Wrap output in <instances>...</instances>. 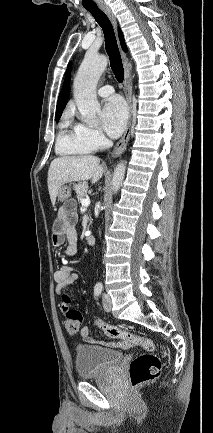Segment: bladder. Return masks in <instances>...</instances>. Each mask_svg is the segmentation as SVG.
Returning <instances> with one entry per match:
<instances>
[{
  "label": "bladder",
  "mask_w": 213,
  "mask_h": 433,
  "mask_svg": "<svg viewBox=\"0 0 213 433\" xmlns=\"http://www.w3.org/2000/svg\"><path fill=\"white\" fill-rule=\"evenodd\" d=\"M123 359V352L101 346L80 344L75 349L76 371L81 379L103 377Z\"/></svg>",
  "instance_id": "obj_1"
}]
</instances>
